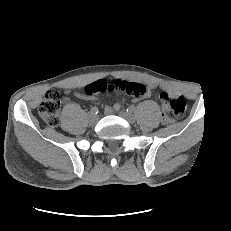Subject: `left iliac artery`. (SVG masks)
Returning a JSON list of instances; mask_svg holds the SVG:
<instances>
[{
  "label": "left iliac artery",
  "instance_id": "1",
  "mask_svg": "<svg viewBox=\"0 0 231 231\" xmlns=\"http://www.w3.org/2000/svg\"><path fill=\"white\" fill-rule=\"evenodd\" d=\"M128 112L132 113L135 111V106H130L128 109H127Z\"/></svg>",
  "mask_w": 231,
  "mask_h": 231
}]
</instances>
